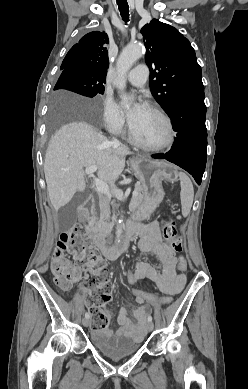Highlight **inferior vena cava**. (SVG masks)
Listing matches in <instances>:
<instances>
[{
    "label": "inferior vena cava",
    "mask_w": 248,
    "mask_h": 389,
    "mask_svg": "<svg viewBox=\"0 0 248 389\" xmlns=\"http://www.w3.org/2000/svg\"><path fill=\"white\" fill-rule=\"evenodd\" d=\"M114 146L121 145L120 141L113 138L111 142ZM100 208L102 211V215L105 217L106 220H109L110 218V210H109V202L106 198H102L100 200Z\"/></svg>",
    "instance_id": "obj_1"
}]
</instances>
